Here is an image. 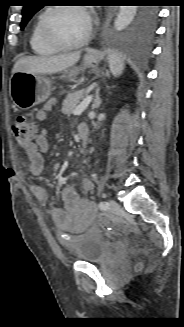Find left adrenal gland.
<instances>
[{
	"label": "left adrenal gland",
	"mask_w": 184,
	"mask_h": 327,
	"mask_svg": "<svg viewBox=\"0 0 184 327\" xmlns=\"http://www.w3.org/2000/svg\"><path fill=\"white\" fill-rule=\"evenodd\" d=\"M99 91H100V88H98L96 90L95 99H94V103H93V108H96V109H98L100 107L101 103H102V100H101V98L99 96Z\"/></svg>",
	"instance_id": "1"
}]
</instances>
